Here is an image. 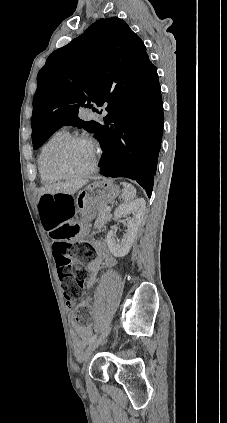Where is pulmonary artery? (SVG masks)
I'll return each mask as SVG.
<instances>
[{
	"label": "pulmonary artery",
	"instance_id": "e3ab8cb5",
	"mask_svg": "<svg viewBox=\"0 0 227 423\" xmlns=\"http://www.w3.org/2000/svg\"><path fill=\"white\" fill-rule=\"evenodd\" d=\"M98 117L96 115H93L92 111H81L80 112V119L81 120H92L97 119Z\"/></svg>",
	"mask_w": 227,
	"mask_h": 423
}]
</instances>
